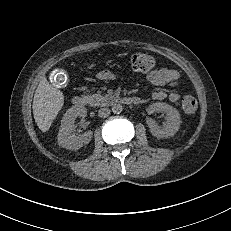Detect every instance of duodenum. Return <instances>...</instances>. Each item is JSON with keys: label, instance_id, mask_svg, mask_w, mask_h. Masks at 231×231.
Segmentation results:
<instances>
[{"label": "duodenum", "instance_id": "obj_1", "mask_svg": "<svg viewBox=\"0 0 231 231\" xmlns=\"http://www.w3.org/2000/svg\"><path fill=\"white\" fill-rule=\"evenodd\" d=\"M116 101L126 105H133V104H137L139 102V99L137 97L127 96V97H119L117 98ZM72 102L75 107L81 108L87 104V98L84 96H75Z\"/></svg>", "mask_w": 231, "mask_h": 231}]
</instances>
